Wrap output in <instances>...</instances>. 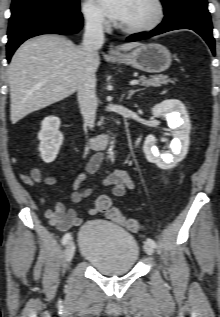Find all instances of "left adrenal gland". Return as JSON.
<instances>
[{
  "label": "left adrenal gland",
  "instance_id": "1",
  "mask_svg": "<svg viewBox=\"0 0 220 317\" xmlns=\"http://www.w3.org/2000/svg\"><path fill=\"white\" fill-rule=\"evenodd\" d=\"M137 91H139V90L137 89V90H131V91H129L128 96H127V99H131L132 95H133L135 92H137Z\"/></svg>",
  "mask_w": 220,
  "mask_h": 317
}]
</instances>
